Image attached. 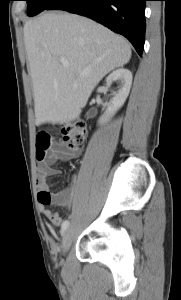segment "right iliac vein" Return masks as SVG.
Wrapping results in <instances>:
<instances>
[{"mask_svg":"<svg viewBox=\"0 0 181 300\" xmlns=\"http://www.w3.org/2000/svg\"><path fill=\"white\" fill-rule=\"evenodd\" d=\"M73 239H74V234L72 229L69 227L65 230L62 238V249L64 252H66L70 248Z\"/></svg>","mask_w":181,"mask_h":300,"instance_id":"1","label":"right iliac vein"}]
</instances>
